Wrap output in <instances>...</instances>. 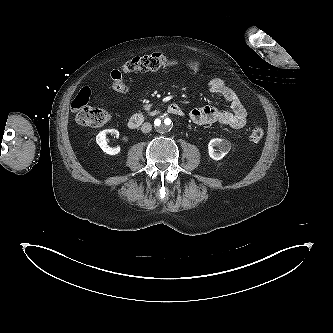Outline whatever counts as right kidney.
Returning <instances> with one entry per match:
<instances>
[{
	"label": "right kidney",
	"mask_w": 333,
	"mask_h": 333,
	"mask_svg": "<svg viewBox=\"0 0 333 333\" xmlns=\"http://www.w3.org/2000/svg\"><path fill=\"white\" fill-rule=\"evenodd\" d=\"M108 133H111L112 135L118 137L119 132L115 129H106L101 131L100 133L97 134L96 136V142L100 146V148L107 154L109 155H116L120 152V147H110L108 143L106 142V135Z\"/></svg>",
	"instance_id": "obj_1"
}]
</instances>
